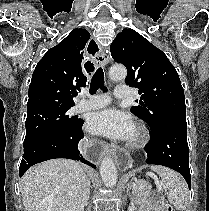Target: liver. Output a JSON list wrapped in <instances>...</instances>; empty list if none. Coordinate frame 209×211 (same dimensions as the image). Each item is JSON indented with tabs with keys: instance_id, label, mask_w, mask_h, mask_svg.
Returning a JSON list of instances; mask_svg holds the SVG:
<instances>
[{
	"instance_id": "6515ba94",
	"label": "liver",
	"mask_w": 209,
	"mask_h": 211,
	"mask_svg": "<svg viewBox=\"0 0 209 211\" xmlns=\"http://www.w3.org/2000/svg\"><path fill=\"white\" fill-rule=\"evenodd\" d=\"M87 176L79 162L52 159L31 167L21 178L27 211H81Z\"/></svg>"
}]
</instances>
